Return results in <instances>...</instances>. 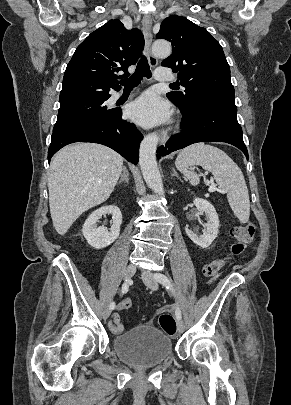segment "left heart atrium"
Returning <instances> with one entry per match:
<instances>
[{
  "instance_id": "obj_1",
  "label": "left heart atrium",
  "mask_w": 291,
  "mask_h": 405,
  "mask_svg": "<svg viewBox=\"0 0 291 405\" xmlns=\"http://www.w3.org/2000/svg\"><path fill=\"white\" fill-rule=\"evenodd\" d=\"M170 114L169 104L153 92L144 93L128 107L129 117L144 127L167 122Z\"/></svg>"
}]
</instances>
